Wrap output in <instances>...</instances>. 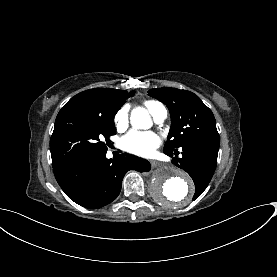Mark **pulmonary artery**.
<instances>
[{
	"mask_svg": "<svg viewBox=\"0 0 277 277\" xmlns=\"http://www.w3.org/2000/svg\"><path fill=\"white\" fill-rule=\"evenodd\" d=\"M167 117H168V110H167V108L164 105L159 103L157 105L156 109H155L154 114H153L154 121L157 124H162V123L165 122Z\"/></svg>",
	"mask_w": 277,
	"mask_h": 277,
	"instance_id": "pulmonary-artery-1",
	"label": "pulmonary artery"
}]
</instances>
